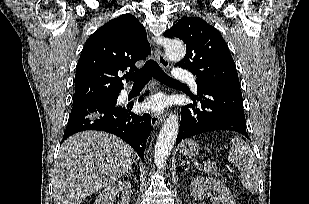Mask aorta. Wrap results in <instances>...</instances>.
<instances>
[{"mask_svg":"<svg viewBox=\"0 0 309 204\" xmlns=\"http://www.w3.org/2000/svg\"><path fill=\"white\" fill-rule=\"evenodd\" d=\"M165 54L172 61H180L186 54L184 44L177 40L169 41L165 47ZM179 130V121L176 114L170 115L162 126L158 135L155 151L154 162L158 169L166 166L168 157L175 143Z\"/></svg>","mask_w":309,"mask_h":204,"instance_id":"obj_1","label":"aorta"}]
</instances>
